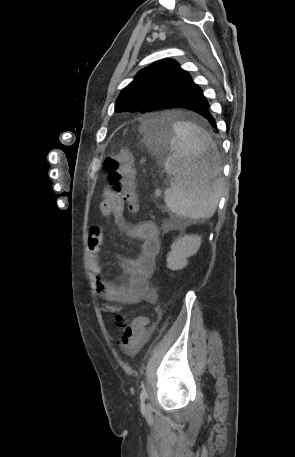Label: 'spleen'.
I'll return each instance as SVG.
<instances>
[{
    "label": "spleen",
    "mask_w": 295,
    "mask_h": 457,
    "mask_svg": "<svg viewBox=\"0 0 295 457\" xmlns=\"http://www.w3.org/2000/svg\"><path fill=\"white\" fill-rule=\"evenodd\" d=\"M174 132L171 154L164 162L165 171L172 176L164 192L165 203L178 216L210 218L221 198L223 181L217 174L218 154L211 164L203 155L207 150L215 151V144L206 131L192 123L177 121Z\"/></svg>",
    "instance_id": "3e777b00"
}]
</instances>
